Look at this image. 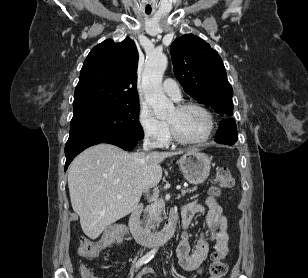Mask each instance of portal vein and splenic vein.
<instances>
[{
  "mask_svg": "<svg viewBox=\"0 0 308 278\" xmlns=\"http://www.w3.org/2000/svg\"><path fill=\"white\" fill-rule=\"evenodd\" d=\"M176 189H177V190H180V189H181V186H180V185H177ZM117 198L120 199V198H122V196H121V195H118Z\"/></svg>",
  "mask_w": 308,
  "mask_h": 278,
  "instance_id": "18ae733b",
  "label": "portal vein and splenic vein"
}]
</instances>
